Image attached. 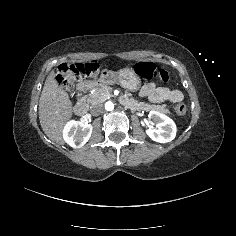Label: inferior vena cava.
<instances>
[{
    "instance_id": "602c4592",
    "label": "inferior vena cava",
    "mask_w": 236,
    "mask_h": 236,
    "mask_svg": "<svg viewBox=\"0 0 236 236\" xmlns=\"http://www.w3.org/2000/svg\"><path fill=\"white\" fill-rule=\"evenodd\" d=\"M103 111V105L102 104H95L91 107L90 112L93 116H97L101 114Z\"/></svg>"
}]
</instances>
